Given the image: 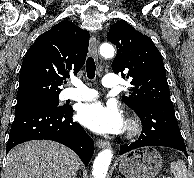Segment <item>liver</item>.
I'll return each instance as SVG.
<instances>
[{
    "instance_id": "6515ba94",
    "label": "liver",
    "mask_w": 194,
    "mask_h": 178,
    "mask_svg": "<svg viewBox=\"0 0 194 178\" xmlns=\"http://www.w3.org/2000/svg\"><path fill=\"white\" fill-rule=\"evenodd\" d=\"M80 165L76 153L60 143L28 141L8 153L5 178H73Z\"/></svg>"
}]
</instances>
